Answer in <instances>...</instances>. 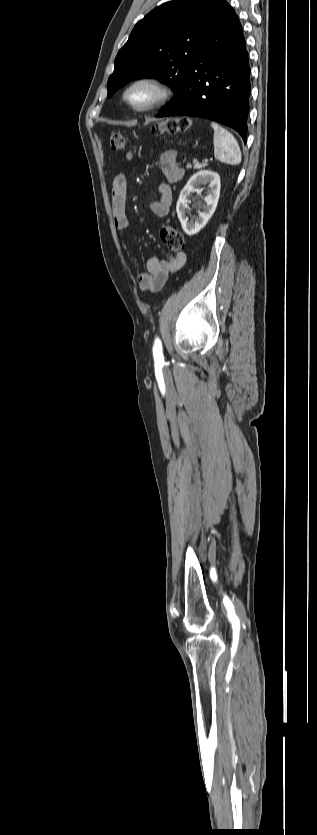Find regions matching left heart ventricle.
Returning a JSON list of instances; mask_svg holds the SVG:
<instances>
[{
    "instance_id": "left-heart-ventricle-1",
    "label": "left heart ventricle",
    "mask_w": 317,
    "mask_h": 835,
    "mask_svg": "<svg viewBox=\"0 0 317 835\" xmlns=\"http://www.w3.org/2000/svg\"><path fill=\"white\" fill-rule=\"evenodd\" d=\"M147 96H148V92L143 90V89H136L131 94L132 100H134L136 102H141V101L145 100L147 98Z\"/></svg>"
}]
</instances>
